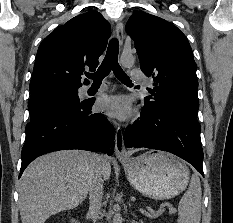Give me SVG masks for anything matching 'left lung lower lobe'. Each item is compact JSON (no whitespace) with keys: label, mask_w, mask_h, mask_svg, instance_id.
Here are the masks:
<instances>
[{"label":"left lung lower lobe","mask_w":233,"mask_h":223,"mask_svg":"<svg viewBox=\"0 0 233 223\" xmlns=\"http://www.w3.org/2000/svg\"><path fill=\"white\" fill-rule=\"evenodd\" d=\"M200 131L195 112L150 114L142 109L140 120L126 128L124 141L127 147H147L173 153L188 161L204 176Z\"/></svg>","instance_id":"1"}]
</instances>
